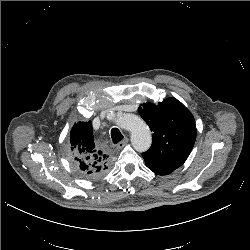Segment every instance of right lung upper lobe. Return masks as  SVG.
Instances as JSON below:
<instances>
[{"mask_svg": "<svg viewBox=\"0 0 250 250\" xmlns=\"http://www.w3.org/2000/svg\"><path fill=\"white\" fill-rule=\"evenodd\" d=\"M69 147L73 162L83 170L109 166V156L94 143L91 121L74 124L70 132Z\"/></svg>", "mask_w": 250, "mask_h": 250, "instance_id": "obj_1", "label": "right lung upper lobe"}]
</instances>
